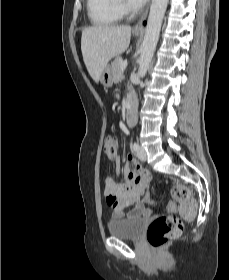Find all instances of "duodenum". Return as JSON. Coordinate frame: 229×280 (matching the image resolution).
<instances>
[{
    "mask_svg": "<svg viewBox=\"0 0 229 280\" xmlns=\"http://www.w3.org/2000/svg\"><path fill=\"white\" fill-rule=\"evenodd\" d=\"M136 109H137V99L134 94H131L126 107V124L127 126H133L136 123Z\"/></svg>",
    "mask_w": 229,
    "mask_h": 280,
    "instance_id": "duodenum-1",
    "label": "duodenum"
}]
</instances>
